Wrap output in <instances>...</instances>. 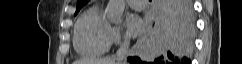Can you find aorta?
I'll use <instances>...</instances> for the list:
<instances>
[{"label":"aorta","instance_id":"obj_1","mask_svg":"<svg viewBox=\"0 0 242 64\" xmlns=\"http://www.w3.org/2000/svg\"><path fill=\"white\" fill-rule=\"evenodd\" d=\"M124 9L125 0H109L105 10L107 19L116 24L121 23Z\"/></svg>","mask_w":242,"mask_h":64}]
</instances>
